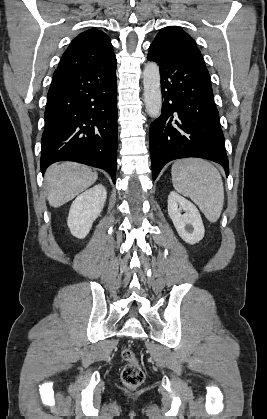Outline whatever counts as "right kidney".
I'll return each mask as SVG.
<instances>
[{
    "mask_svg": "<svg viewBox=\"0 0 267 419\" xmlns=\"http://www.w3.org/2000/svg\"><path fill=\"white\" fill-rule=\"evenodd\" d=\"M107 198V191L98 184L80 194L72 203L67 224L73 236L82 239L89 233L93 222L100 215Z\"/></svg>",
    "mask_w": 267,
    "mask_h": 419,
    "instance_id": "ca27d5eb",
    "label": "right kidney"
}]
</instances>
